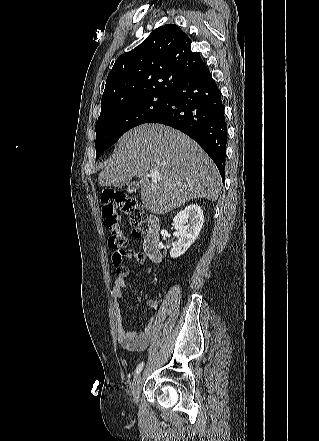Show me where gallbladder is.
Instances as JSON below:
<instances>
[{"label":"gallbladder","mask_w":319,"mask_h":441,"mask_svg":"<svg viewBox=\"0 0 319 441\" xmlns=\"http://www.w3.org/2000/svg\"><path fill=\"white\" fill-rule=\"evenodd\" d=\"M138 189H139V184H138V182H132V183H130V184L128 185V187H127V191H128L129 193H136Z\"/></svg>","instance_id":"gallbladder-1"}]
</instances>
